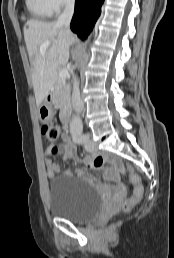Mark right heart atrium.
I'll return each mask as SVG.
<instances>
[{
	"instance_id": "right-heart-atrium-1",
	"label": "right heart atrium",
	"mask_w": 174,
	"mask_h": 258,
	"mask_svg": "<svg viewBox=\"0 0 174 258\" xmlns=\"http://www.w3.org/2000/svg\"><path fill=\"white\" fill-rule=\"evenodd\" d=\"M52 13H57L74 3V0H46Z\"/></svg>"
}]
</instances>
